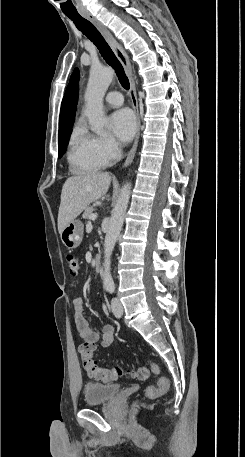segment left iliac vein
<instances>
[{
  "instance_id": "obj_1",
  "label": "left iliac vein",
  "mask_w": 245,
  "mask_h": 457,
  "mask_svg": "<svg viewBox=\"0 0 245 457\" xmlns=\"http://www.w3.org/2000/svg\"><path fill=\"white\" fill-rule=\"evenodd\" d=\"M111 308H112V312L113 314L116 316V317H121L123 312H124V309H123V305L121 304V302L117 299V298H112V301H111Z\"/></svg>"
}]
</instances>
